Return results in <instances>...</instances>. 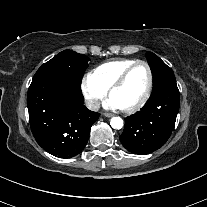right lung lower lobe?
I'll list each match as a JSON object with an SVG mask.
<instances>
[{
    "label": "right lung lower lobe",
    "instance_id": "obj_1",
    "mask_svg": "<svg viewBox=\"0 0 207 207\" xmlns=\"http://www.w3.org/2000/svg\"><path fill=\"white\" fill-rule=\"evenodd\" d=\"M81 89L57 80L32 82L27 107L32 133L47 152L62 158L78 155L88 142L99 113L84 105Z\"/></svg>",
    "mask_w": 207,
    "mask_h": 207
}]
</instances>
